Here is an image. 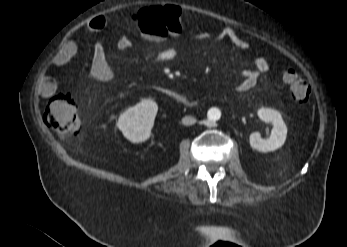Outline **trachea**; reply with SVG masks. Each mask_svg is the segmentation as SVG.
I'll use <instances>...</instances> for the list:
<instances>
[{"label":"trachea","mask_w":347,"mask_h":247,"mask_svg":"<svg viewBox=\"0 0 347 247\" xmlns=\"http://www.w3.org/2000/svg\"><path fill=\"white\" fill-rule=\"evenodd\" d=\"M219 247H233V246H231L229 244H221V245H219Z\"/></svg>","instance_id":"1"}]
</instances>
